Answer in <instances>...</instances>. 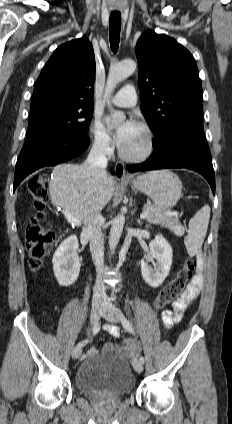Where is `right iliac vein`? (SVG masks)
I'll list each match as a JSON object with an SVG mask.
<instances>
[{
	"mask_svg": "<svg viewBox=\"0 0 232 424\" xmlns=\"http://www.w3.org/2000/svg\"><path fill=\"white\" fill-rule=\"evenodd\" d=\"M103 311V305L102 304H94L91 308V312H90V320L92 324H95ZM82 353V347L76 346L74 347L73 351H72V358L73 359H78L79 356Z\"/></svg>",
	"mask_w": 232,
	"mask_h": 424,
	"instance_id": "obj_1",
	"label": "right iliac vein"
}]
</instances>
